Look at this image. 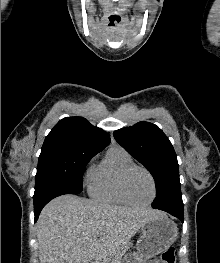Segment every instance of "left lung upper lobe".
<instances>
[{"label": "left lung upper lobe", "mask_w": 220, "mask_h": 263, "mask_svg": "<svg viewBox=\"0 0 220 263\" xmlns=\"http://www.w3.org/2000/svg\"><path fill=\"white\" fill-rule=\"evenodd\" d=\"M114 138L152 174L156 183L152 207L183 211L177 157L163 131L152 123L141 121L115 131Z\"/></svg>", "instance_id": "5c2ea615"}]
</instances>
